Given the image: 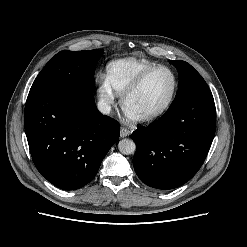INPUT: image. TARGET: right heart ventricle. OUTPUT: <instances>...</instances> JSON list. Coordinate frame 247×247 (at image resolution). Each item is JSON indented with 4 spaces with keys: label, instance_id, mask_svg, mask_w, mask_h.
I'll return each instance as SVG.
<instances>
[{
    "label": "right heart ventricle",
    "instance_id": "e07e8e85",
    "mask_svg": "<svg viewBox=\"0 0 247 247\" xmlns=\"http://www.w3.org/2000/svg\"><path fill=\"white\" fill-rule=\"evenodd\" d=\"M155 65L148 60L133 57L117 59L107 65L106 78L113 90L122 94L139 74Z\"/></svg>",
    "mask_w": 247,
    "mask_h": 247
}]
</instances>
